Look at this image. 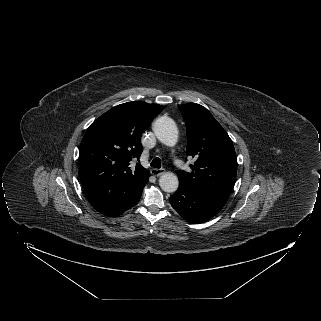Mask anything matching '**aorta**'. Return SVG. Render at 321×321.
<instances>
[{
	"instance_id": "1",
	"label": "aorta",
	"mask_w": 321,
	"mask_h": 321,
	"mask_svg": "<svg viewBox=\"0 0 321 321\" xmlns=\"http://www.w3.org/2000/svg\"><path fill=\"white\" fill-rule=\"evenodd\" d=\"M153 131L157 139L166 146L173 147L178 141V128L173 119L163 116L153 124ZM161 189L173 193L178 189V177L172 172H165L159 179Z\"/></svg>"
}]
</instances>
